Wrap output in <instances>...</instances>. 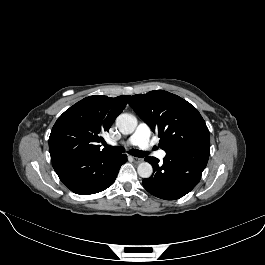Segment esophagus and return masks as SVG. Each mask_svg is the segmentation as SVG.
Instances as JSON below:
<instances>
[{"instance_id": "1", "label": "esophagus", "mask_w": 265, "mask_h": 265, "mask_svg": "<svg viewBox=\"0 0 265 265\" xmlns=\"http://www.w3.org/2000/svg\"><path fill=\"white\" fill-rule=\"evenodd\" d=\"M133 160L136 162V163H141L143 161L142 158H138V157H132Z\"/></svg>"}]
</instances>
